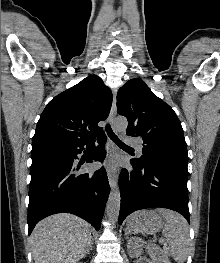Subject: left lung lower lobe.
Listing matches in <instances>:
<instances>
[{"label":"left lung lower lobe","instance_id":"0a47b994","mask_svg":"<svg viewBox=\"0 0 220 263\" xmlns=\"http://www.w3.org/2000/svg\"><path fill=\"white\" fill-rule=\"evenodd\" d=\"M130 162L133 170L123 169L120 175L119 224L132 212L153 207L177 211L190 222L188 174L162 163Z\"/></svg>","mask_w":220,"mask_h":263}]
</instances>
